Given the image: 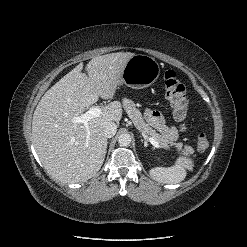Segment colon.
Wrapping results in <instances>:
<instances>
[{
	"label": "colon",
	"instance_id": "colon-1",
	"mask_svg": "<svg viewBox=\"0 0 247 247\" xmlns=\"http://www.w3.org/2000/svg\"><path fill=\"white\" fill-rule=\"evenodd\" d=\"M165 97L172 108L174 118L185 128V121L189 110V100L186 87L173 70H168L164 75ZM195 145L198 151L203 152L209 147V140L204 132L196 136Z\"/></svg>",
	"mask_w": 247,
	"mask_h": 247
}]
</instances>
